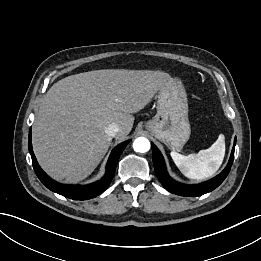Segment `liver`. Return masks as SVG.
Wrapping results in <instances>:
<instances>
[{"label":"liver","instance_id":"1","mask_svg":"<svg viewBox=\"0 0 261 261\" xmlns=\"http://www.w3.org/2000/svg\"><path fill=\"white\" fill-rule=\"evenodd\" d=\"M172 81L162 71L104 69L68 76L44 96L33 126L36 158L55 180L78 182L88 177L111 144V123L124 139L142 110Z\"/></svg>","mask_w":261,"mask_h":261}]
</instances>
